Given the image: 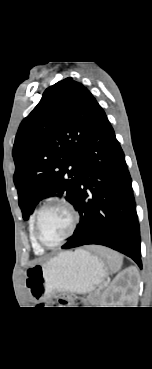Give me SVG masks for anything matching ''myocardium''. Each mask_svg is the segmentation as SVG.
Returning a JSON list of instances; mask_svg holds the SVG:
<instances>
[{
    "instance_id": "1",
    "label": "myocardium",
    "mask_w": 152,
    "mask_h": 369,
    "mask_svg": "<svg viewBox=\"0 0 152 369\" xmlns=\"http://www.w3.org/2000/svg\"><path fill=\"white\" fill-rule=\"evenodd\" d=\"M51 205H60L66 208L71 216V225H70L69 231L64 237H62L56 243L49 245V244H46L40 237L39 220H40L42 212ZM79 220H80V216H79L77 209L68 199L64 197H60V196L50 197L39 207V209L37 210L35 214L34 221H33L34 238L41 248L54 249L60 246L61 244H63L67 239H69L74 234L79 224Z\"/></svg>"
}]
</instances>
